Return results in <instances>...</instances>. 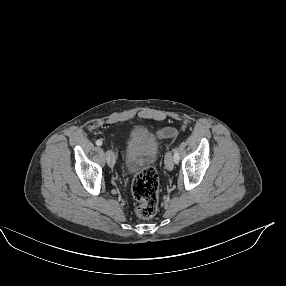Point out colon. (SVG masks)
Here are the masks:
<instances>
[{
    "label": "colon",
    "mask_w": 286,
    "mask_h": 286,
    "mask_svg": "<svg viewBox=\"0 0 286 286\" xmlns=\"http://www.w3.org/2000/svg\"><path fill=\"white\" fill-rule=\"evenodd\" d=\"M159 176L152 167H147L134 178L132 194L138 201L136 214L141 219L152 218L158 210Z\"/></svg>",
    "instance_id": "5ec220e1"
}]
</instances>
